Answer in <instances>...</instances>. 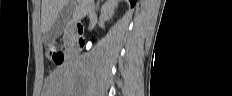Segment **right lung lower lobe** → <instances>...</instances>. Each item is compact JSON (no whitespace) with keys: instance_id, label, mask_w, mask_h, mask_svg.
<instances>
[{"instance_id":"1","label":"right lung lower lobe","mask_w":232,"mask_h":96,"mask_svg":"<svg viewBox=\"0 0 232 96\" xmlns=\"http://www.w3.org/2000/svg\"><path fill=\"white\" fill-rule=\"evenodd\" d=\"M130 1V3H131V6L133 7L134 5H135V3H136V0H129Z\"/></svg>"}]
</instances>
